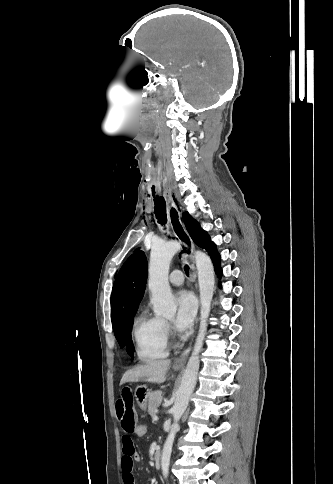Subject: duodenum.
Instances as JSON below:
<instances>
[{"instance_id": "1", "label": "duodenum", "mask_w": 333, "mask_h": 484, "mask_svg": "<svg viewBox=\"0 0 333 484\" xmlns=\"http://www.w3.org/2000/svg\"><path fill=\"white\" fill-rule=\"evenodd\" d=\"M161 456H162L161 449L157 448L153 456V462L156 469H159L161 467Z\"/></svg>"}]
</instances>
